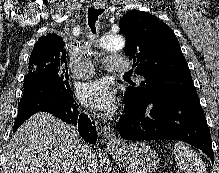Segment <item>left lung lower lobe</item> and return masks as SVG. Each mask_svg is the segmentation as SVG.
I'll return each instance as SVG.
<instances>
[{"label":"left lung lower lobe","instance_id":"1","mask_svg":"<svg viewBox=\"0 0 219 173\" xmlns=\"http://www.w3.org/2000/svg\"><path fill=\"white\" fill-rule=\"evenodd\" d=\"M123 101L125 114L116 125L123 139L184 141L201 149L214 163L210 130L197 94L147 103Z\"/></svg>","mask_w":219,"mask_h":173}]
</instances>
